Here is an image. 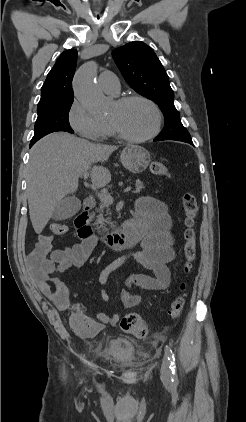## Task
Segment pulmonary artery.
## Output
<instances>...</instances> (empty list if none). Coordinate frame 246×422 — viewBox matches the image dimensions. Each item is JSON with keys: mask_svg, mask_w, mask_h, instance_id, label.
Returning <instances> with one entry per match:
<instances>
[{"mask_svg": "<svg viewBox=\"0 0 246 422\" xmlns=\"http://www.w3.org/2000/svg\"><path fill=\"white\" fill-rule=\"evenodd\" d=\"M98 85L103 91L110 94H117L120 90L117 76L110 71H104L99 75Z\"/></svg>", "mask_w": 246, "mask_h": 422, "instance_id": "obj_1", "label": "pulmonary artery"}]
</instances>
